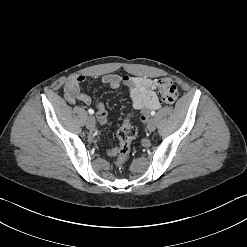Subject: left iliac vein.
I'll list each match as a JSON object with an SVG mask.
<instances>
[{
  "mask_svg": "<svg viewBox=\"0 0 247 247\" xmlns=\"http://www.w3.org/2000/svg\"><path fill=\"white\" fill-rule=\"evenodd\" d=\"M147 129L150 132H153L156 129V122L153 118L149 119L147 123Z\"/></svg>",
  "mask_w": 247,
  "mask_h": 247,
  "instance_id": "4c4485c4",
  "label": "left iliac vein"
}]
</instances>
